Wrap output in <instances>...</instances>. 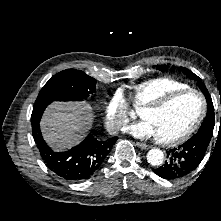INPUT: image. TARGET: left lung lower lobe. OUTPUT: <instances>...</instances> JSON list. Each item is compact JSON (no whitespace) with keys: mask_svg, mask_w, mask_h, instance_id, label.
Here are the masks:
<instances>
[{"mask_svg":"<svg viewBox=\"0 0 221 221\" xmlns=\"http://www.w3.org/2000/svg\"><path fill=\"white\" fill-rule=\"evenodd\" d=\"M207 136L196 134L178 148L167 152L165 164L153 171L167 180L185 177L201 163L209 145Z\"/></svg>","mask_w":221,"mask_h":221,"instance_id":"obj_1","label":"left lung lower lobe"}]
</instances>
